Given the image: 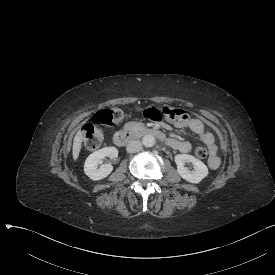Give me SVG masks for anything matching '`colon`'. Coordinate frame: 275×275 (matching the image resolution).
<instances>
[{"label": "colon", "mask_w": 275, "mask_h": 275, "mask_svg": "<svg viewBox=\"0 0 275 275\" xmlns=\"http://www.w3.org/2000/svg\"><path fill=\"white\" fill-rule=\"evenodd\" d=\"M185 115V110L171 106H164L162 108L149 107L143 110L144 118L154 122H172L180 120ZM123 116L124 113L120 107L97 111L92 118L81 127L84 147L90 151L99 150L103 145L105 127L119 123L123 119ZM207 155L208 152L205 147L198 146L195 149V156L197 158L205 159Z\"/></svg>", "instance_id": "colon-1"}]
</instances>
